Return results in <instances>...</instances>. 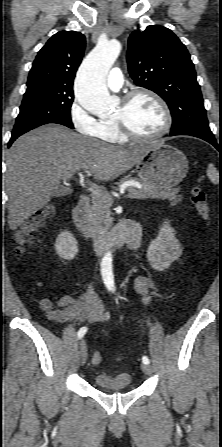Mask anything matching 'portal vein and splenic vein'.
<instances>
[{
  "mask_svg": "<svg viewBox=\"0 0 222 447\" xmlns=\"http://www.w3.org/2000/svg\"><path fill=\"white\" fill-rule=\"evenodd\" d=\"M92 187L90 188V191L92 192V195H96V196H102L104 194V190H102L101 188L97 187L96 185H91ZM125 186H132V187H136V188H142V185L138 182L135 181H127L125 183ZM128 198H136L135 194L133 193H129L127 195ZM109 200H112L111 198H109Z\"/></svg>",
  "mask_w": 222,
  "mask_h": 447,
  "instance_id": "portal-vein-and-splenic-vein-1",
  "label": "portal vein and splenic vein"
}]
</instances>
